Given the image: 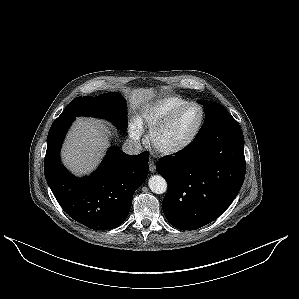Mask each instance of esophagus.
<instances>
[{
    "label": "esophagus",
    "mask_w": 299,
    "mask_h": 299,
    "mask_svg": "<svg viewBox=\"0 0 299 299\" xmlns=\"http://www.w3.org/2000/svg\"><path fill=\"white\" fill-rule=\"evenodd\" d=\"M148 164H149V171L152 172V173H154L155 170H156V166H155L154 161L150 160Z\"/></svg>",
    "instance_id": "34e87169"
}]
</instances>
